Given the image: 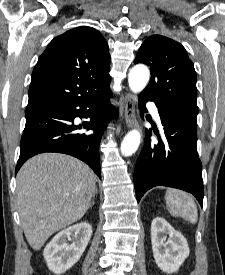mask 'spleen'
I'll list each match as a JSON object with an SVG mask.
<instances>
[{
  "mask_svg": "<svg viewBox=\"0 0 225 275\" xmlns=\"http://www.w3.org/2000/svg\"><path fill=\"white\" fill-rule=\"evenodd\" d=\"M165 201L167 209L172 216L182 217L192 224L197 222V206L189 194L171 188L166 191Z\"/></svg>",
  "mask_w": 225,
  "mask_h": 275,
  "instance_id": "obj_1",
  "label": "spleen"
}]
</instances>
